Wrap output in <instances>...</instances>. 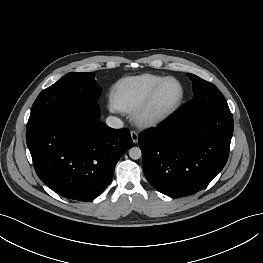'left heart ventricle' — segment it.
Returning a JSON list of instances; mask_svg holds the SVG:
<instances>
[{"label": "left heart ventricle", "instance_id": "obj_1", "mask_svg": "<svg viewBox=\"0 0 263 263\" xmlns=\"http://www.w3.org/2000/svg\"><path fill=\"white\" fill-rule=\"evenodd\" d=\"M181 95V88L174 80L167 81L159 91L153 105L157 111L166 110L172 107Z\"/></svg>", "mask_w": 263, "mask_h": 263}]
</instances>
